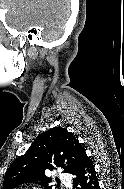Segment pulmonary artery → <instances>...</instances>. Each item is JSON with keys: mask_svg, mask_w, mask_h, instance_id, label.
Wrapping results in <instances>:
<instances>
[{"mask_svg": "<svg viewBox=\"0 0 124 189\" xmlns=\"http://www.w3.org/2000/svg\"><path fill=\"white\" fill-rule=\"evenodd\" d=\"M58 177L65 183L66 186L70 185V179L68 178L67 174L59 172Z\"/></svg>", "mask_w": 124, "mask_h": 189, "instance_id": "1", "label": "pulmonary artery"}]
</instances>
